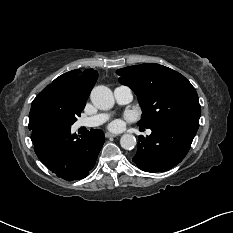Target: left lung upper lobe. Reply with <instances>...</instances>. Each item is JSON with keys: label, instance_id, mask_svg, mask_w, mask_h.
I'll use <instances>...</instances> for the list:
<instances>
[{"label": "left lung upper lobe", "instance_id": "obj_1", "mask_svg": "<svg viewBox=\"0 0 233 233\" xmlns=\"http://www.w3.org/2000/svg\"><path fill=\"white\" fill-rule=\"evenodd\" d=\"M119 82L129 86L142 107L139 126L151 128L162 123L199 126L201 107L191 83L180 73L159 64H142L116 71Z\"/></svg>", "mask_w": 233, "mask_h": 233}]
</instances>
